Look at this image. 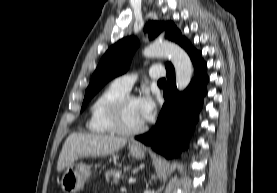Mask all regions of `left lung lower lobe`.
<instances>
[{
	"mask_svg": "<svg viewBox=\"0 0 277 193\" xmlns=\"http://www.w3.org/2000/svg\"><path fill=\"white\" fill-rule=\"evenodd\" d=\"M190 55L195 77L187 89L178 92L175 83V70L172 65L166 66L167 83L163 91L165 103L151 131L136 136V140L150 145L153 150L167 158L177 156L185 146L198 121L199 111L206 94L208 76L206 63L201 59V52L194 49L187 41L183 47Z\"/></svg>",
	"mask_w": 277,
	"mask_h": 193,
	"instance_id": "1",
	"label": "left lung lower lobe"
}]
</instances>
